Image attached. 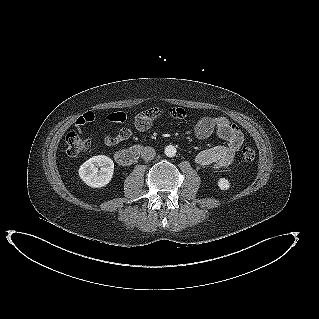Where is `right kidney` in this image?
Listing matches in <instances>:
<instances>
[{
	"mask_svg": "<svg viewBox=\"0 0 319 319\" xmlns=\"http://www.w3.org/2000/svg\"><path fill=\"white\" fill-rule=\"evenodd\" d=\"M100 167V170H98ZM114 163L105 155L93 156L79 168L80 178L90 187H104L113 178Z\"/></svg>",
	"mask_w": 319,
	"mask_h": 319,
	"instance_id": "right-kidney-1",
	"label": "right kidney"
}]
</instances>
